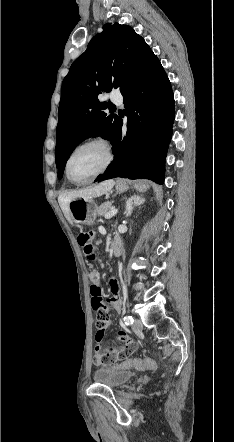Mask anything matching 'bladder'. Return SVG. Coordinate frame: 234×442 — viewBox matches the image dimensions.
Returning a JSON list of instances; mask_svg holds the SVG:
<instances>
[{"label":"bladder","mask_w":234,"mask_h":442,"mask_svg":"<svg viewBox=\"0 0 234 442\" xmlns=\"http://www.w3.org/2000/svg\"><path fill=\"white\" fill-rule=\"evenodd\" d=\"M134 372L122 366L100 367L95 370V382L109 387H119L133 378Z\"/></svg>","instance_id":"obj_1"}]
</instances>
